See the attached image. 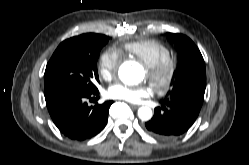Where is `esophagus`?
<instances>
[{
  "label": "esophagus",
  "instance_id": "esophagus-1",
  "mask_svg": "<svg viewBox=\"0 0 249 165\" xmlns=\"http://www.w3.org/2000/svg\"><path fill=\"white\" fill-rule=\"evenodd\" d=\"M130 106L134 109H137L139 107V105H135V104H130Z\"/></svg>",
  "mask_w": 249,
  "mask_h": 165
}]
</instances>
